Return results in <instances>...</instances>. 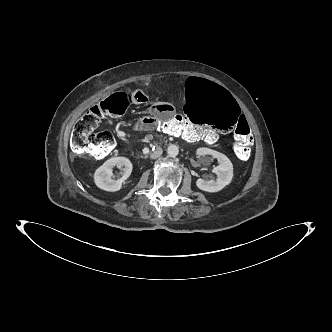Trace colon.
<instances>
[{
  "mask_svg": "<svg viewBox=\"0 0 332 332\" xmlns=\"http://www.w3.org/2000/svg\"><path fill=\"white\" fill-rule=\"evenodd\" d=\"M184 99L187 103L188 117L176 115L172 120H158L155 129L168 135H181L196 131V126L208 128L218 135H225L234 129V153L240 160L250 155L252 137L248 123L241 119V112L236 98L217 83L203 77L191 78L184 87ZM135 102L131 93H113L89 111L75 124L71 136V150L75 155H87L103 159L115 147V139L108 130H97L107 116L123 115ZM199 138H202L199 133Z\"/></svg>",
  "mask_w": 332,
  "mask_h": 332,
  "instance_id": "obj_1",
  "label": "colon"
}]
</instances>
